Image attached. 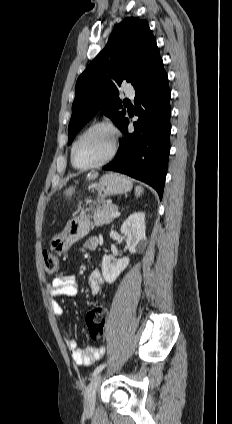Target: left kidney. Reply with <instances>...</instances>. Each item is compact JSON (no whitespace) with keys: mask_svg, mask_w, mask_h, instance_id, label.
<instances>
[{"mask_svg":"<svg viewBox=\"0 0 232 424\" xmlns=\"http://www.w3.org/2000/svg\"><path fill=\"white\" fill-rule=\"evenodd\" d=\"M145 214L137 212L130 215L121 226V233L126 237V247L131 254L141 251L146 247ZM129 257L115 259L104 255L102 259V275L104 280L111 284L129 265Z\"/></svg>","mask_w":232,"mask_h":424,"instance_id":"obj_1","label":"left kidney"}]
</instances>
